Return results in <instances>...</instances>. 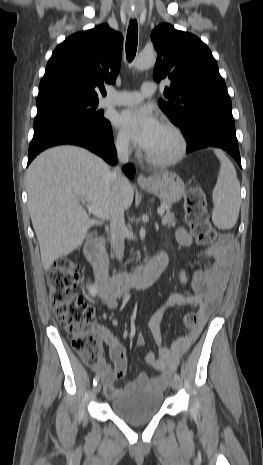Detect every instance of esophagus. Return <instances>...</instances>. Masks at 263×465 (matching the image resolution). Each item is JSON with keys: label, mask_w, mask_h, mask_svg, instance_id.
<instances>
[{"label": "esophagus", "mask_w": 263, "mask_h": 465, "mask_svg": "<svg viewBox=\"0 0 263 465\" xmlns=\"http://www.w3.org/2000/svg\"><path fill=\"white\" fill-rule=\"evenodd\" d=\"M137 182L139 185H146L149 184L150 181L143 174H139L137 177Z\"/></svg>", "instance_id": "1"}]
</instances>
